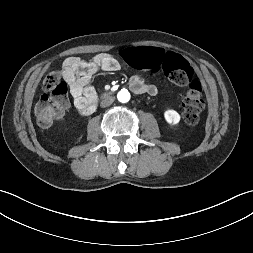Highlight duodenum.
Listing matches in <instances>:
<instances>
[{
	"label": "duodenum",
	"mask_w": 253,
	"mask_h": 253,
	"mask_svg": "<svg viewBox=\"0 0 253 253\" xmlns=\"http://www.w3.org/2000/svg\"><path fill=\"white\" fill-rule=\"evenodd\" d=\"M109 94H112V92H110ZM109 94H107V95H109ZM96 107H97V102L94 101V102L88 104L87 106L83 107L80 110V112L82 114L89 115V114H92L95 111Z\"/></svg>",
	"instance_id": "410a0bca"
}]
</instances>
